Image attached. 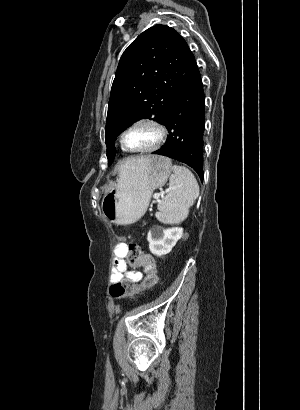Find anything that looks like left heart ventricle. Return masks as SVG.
<instances>
[{
  "mask_svg": "<svg viewBox=\"0 0 300 410\" xmlns=\"http://www.w3.org/2000/svg\"><path fill=\"white\" fill-rule=\"evenodd\" d=\"M158 139V132L150 125H138L129 130L125 137V145L131 149H141L152 146Z\"/></svg>",
  "mask_w": 300,
  "mask_h": 410,
  "instance_id": "1",
  "label": "left heart ventricle"
}]
</instances>
